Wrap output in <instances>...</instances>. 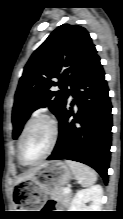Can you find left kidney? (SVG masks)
<instances>
[{
    "instance_id": "5707ae66",
    "label": "left kidney",
    "mask_w": 123,
    "mask_h": 219,
    "mask_svg": "<svg viewBox=\"0 0 123 219\" xmlns=\"http://www.w3.org/2000/svg\"><path fill=\"white\" fill-rule=\"evenodd\" d=\"M103 189L100 185H94L90 188L79 190L72 199L71 211H101ZM91 201V205L85 204Z\"/></svg>"
}]
</instances>
